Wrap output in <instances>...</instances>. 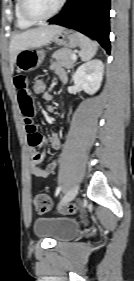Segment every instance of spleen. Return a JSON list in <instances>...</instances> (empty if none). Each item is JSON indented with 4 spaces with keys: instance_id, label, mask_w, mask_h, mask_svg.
<instances>
[{
    "instance_id": "obj_1",
    "label": "spleen",
    "mask_w": 134,
    "mask_h": 281,
    "mask_svg": "<svg viewBox=\"0 0 134 281\" xmlns=\"http://www.w3.org/2000/svg\"><path fill=\"white\" fill-rule=\"evenodd\" d=\"M81 40V52H80V57L82 61H88L91 58L94 57V55L97 52L98 49V43L95 41H92L88 37L81 35L80 37Z\"/></svg>"
}]
</instances>
